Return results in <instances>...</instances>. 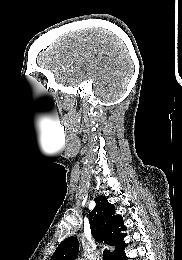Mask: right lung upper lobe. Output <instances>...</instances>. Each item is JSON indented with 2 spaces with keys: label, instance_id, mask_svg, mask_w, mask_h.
<instances>
[{
  "label": "right lung upper lobe",
  "instance_id": "right-lung-upper-lobe-1",
  "mask_svg": "<svg viewBox=\"0 0 182 260\" xmlns=\"http://www.w3.org/2000/svg\"><path fill=\"white\" fill-rule=\"evenodd\" d=\"M91 232L98 242L115 246L112 257L122 251L126 244L123 242L126 234L121 215L115 216V206L108 202L105 196L96 199V206L89 214ZM79 252V242L75 237H68L57 247L51 260H75Z\"/></svg>",
  "mask_w": 182,
  "mask_h": 260
}]
</instances>
